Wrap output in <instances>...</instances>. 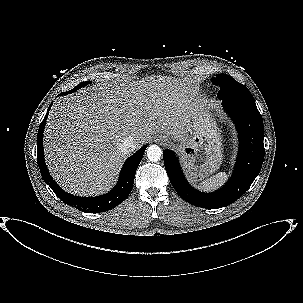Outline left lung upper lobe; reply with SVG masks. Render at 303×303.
I'll return each mask as SVG.
<instances>
[{
	"label": "left lung upper lobe",
	"mask_w": 303,
	"mask_h": 303,
	"mask_svg": "<svg viewBox=\"0 0 303 303\" xmlns=\"http://www.w3.org/2000/svg\"><path fill=\"white\" fill-rule=\"evenodd\" d=\"M211 81L213 84L220 86V91L217 94V97L219 99L237 98L254 100L250 91L244 85L238 83L229 75L218 74Z\"/></svg>",
	"instance_id": "obj_1"
}]
</instances>
